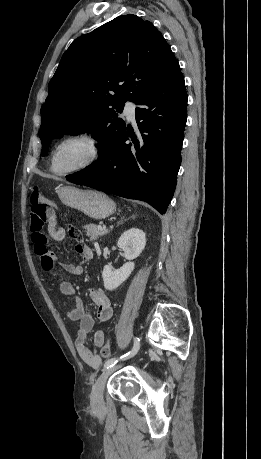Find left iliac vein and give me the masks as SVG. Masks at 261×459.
Masks as SVG:
<instances>
[{"label":"left iliac vein","instance_id":"4c4485c4","mask_svg":"<svg viewBox=\"0 0 261 459\" xmlns=\"http://www.w3.org/2000/svg\"><path fill=\"white\" fill-rule=\"evenodd\" d=\"M116 366L106 369L97 379L92 388L91 405L95 410H101L104 407V387L110 375L116 370Z\"/></svg>","mask_w":261,"mask_h":459}]
</instances>
